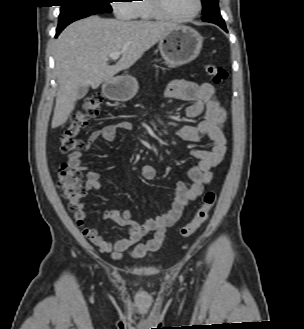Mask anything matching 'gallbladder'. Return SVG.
Segmentation results:
<instances>
[{
    "instance_id": "1",
    "label": "gallbladder",
    "mask_w": 304,
    "mask_h": 329,
    "mask_svg": "<svg viewBox=\"0 0 304 329\" xmlns=\"http://www.w3.org/2000/svg\"><path fill=\"white\" fill-rule=\"evenodd\" d=\"M88 92V87L80 86L77 91V99H82Z\"/></svg>"
}]
</instances>
